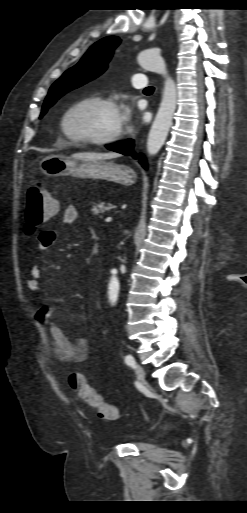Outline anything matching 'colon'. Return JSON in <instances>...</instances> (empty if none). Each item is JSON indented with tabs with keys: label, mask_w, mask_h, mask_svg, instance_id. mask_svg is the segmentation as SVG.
I'll list each match as a JSON object with an SVG mask.
<instances>
[{
	"label": "colon",
	"mask_w": 247,
	"mask_h": 513,
	"mask_svg": "<svg viewBox=\"0 0 247 513\" xmlns=\"http://www.w3.org/2000/svg\"><path fill=\"white\" fill-rule=\"evenodd\" d=\"M58 212V201L42 183L36 182L29 187L25 199V231L27 234H34L40 226L53 219ZM69 384L78 397L86 402L100 418L105 420L117 418V409L103 399L87 382L83 374H71Z\"/></svg>",
	"instance_id": "1"
}]
</instances>
